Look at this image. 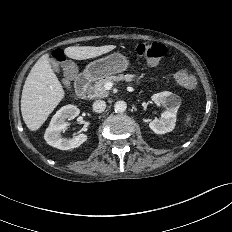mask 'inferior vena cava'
Instances as JSON below:
<instances>
[{
    "mask_svg": "<svg viewBox=\"0 0 232 232\" xmlns=\"http://www.w3.org/2000/svg\"><path fill=\"white\" fill-rule=\"evenodd\" d=\"M105 108H106V102L103 100H96L93 103V110L97 113L103 112Z\"/></svg>",
    "mask_w": 232,
    "mask_h": 232,
    "instance_id": "1",
    "label": "inferior vena cava"
}]
</instances>
